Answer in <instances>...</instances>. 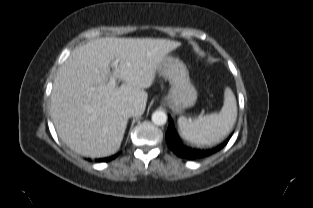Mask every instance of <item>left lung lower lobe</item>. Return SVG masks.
Listing matches in <instances>:
<instances>
[{
	"instance_id": "left-lung-lower-lobe-1",
	"label": "left lung lower lobe",
	"mask_w": 313,
	"mask_h": 208,
	"mask_svg": "<svg viewBox=\"0 0 313 208\" xmlns=\"http://www.w3.org/2000/svg\"><path fill=\"white\" fill-rule=\"evenodd\" d=\"M177 134L174 129V125H171V122L169 123V127L166 132V141L168 147L179 157L182 158H187V159H196V158H202L205 156H209L218 150H220L223 146L226 145L228 142L229 138L221 145L217 146L216 148L213 149H208V150H196L194 148L187 147L180 142L177 141L176 139Z\"/></svg>"
}]
</instances>
